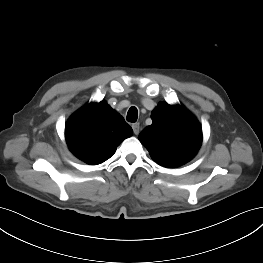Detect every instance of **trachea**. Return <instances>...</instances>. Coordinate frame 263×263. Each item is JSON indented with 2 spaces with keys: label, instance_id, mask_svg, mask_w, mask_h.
<instances>
[{
  "label": "trachea",
  "instance_id": "1",
  "mask_svg": "<svg viewBox=\"0 0 263 263\" xmlns=\"http://www.w3.org/2000/svg\"><path fill=\"white\" fill-rule=\"evenodd\" d=\"M137 118H138V110L136 107H131L129 110H128V113H127V121L129 122H136L137 121Z\"/></svg>",
  "mask_w": 263,
  "mask_h": 263
}]
</instances>
